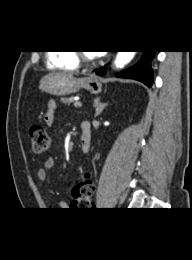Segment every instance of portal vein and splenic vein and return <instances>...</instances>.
<instances>
[{"label":"portal vein and splenic vein","mask_w":192,"mask_h":260,"mask_svg":"<svg viewBox=\"0 0 192 260\" xmlns=\"http://www.w3.org/2000/svg\"><path fill=\"white\" fill-rule=\"evenodd\" d=\"M82 103L80 101H75L74 102V107H81Z\"/></svg>","instance_id":"obj_1"}]
</instances>
